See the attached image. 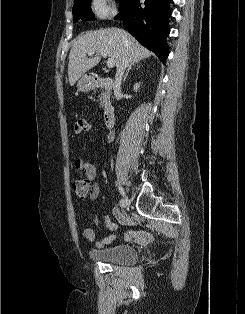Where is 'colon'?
Masks as SVG:
<instances>
[{
	"mask_svg": "<svg viewBox=\"0 0 245 314\" xmlns=\"http://www.w3.org/2000/svg\"><path fill=\"white\" fill-rule=\"evenodd\" d=\"M80 124H83V123L80 122ZM73 191L79 199H81V200L87 199L91 193L90 179L89 178H83V179H79V180L74 181Z\"/></svg>",
	"mask_w": 245,
	"mask_h": 314,
	"instance_id": "1",
	"label": "colon"
}]
</instances>
